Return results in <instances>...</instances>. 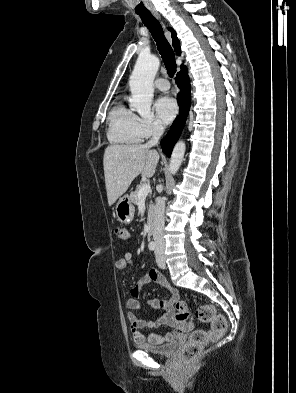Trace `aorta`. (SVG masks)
Masks as SVG:
<instances>
[{"mask_svg":"<svg viewBox=\"0 0 296 393\" xmlns=\"http://www.w3.org/2000/svg\"><path fill=\"white\" fill-rule=\"evenodd\" d=\"M159 59L150 54L141 53L130 76L131 105L142 116L149 117L153 100V81L159 69ZM186 150L184 141H178L172 151L169 171L176 174L179 170Z\"/></svg>","mask_w":296,"mask_h":393,"instance_id":"1","label":"aorta"}]
</instances>
